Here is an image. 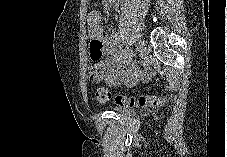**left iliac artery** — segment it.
I'll list each match as a JSON object with an SVG mask.
<instances>
[{"label":"left iliac artery","instance_id":"1","mask_svg":"<svg viewBox=\"0 0 227 157\" xmlns=\"http://www.w3.org/2000/svg\"><path fill=\"white\" fill-rule=\"evenodd\" d=\"M135 41H136V43H137V49H138V44H140L141 43V38H140V34H135Z\"/></svg>","mask_w":227,"mask_h":157}]
</instances>
